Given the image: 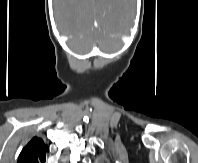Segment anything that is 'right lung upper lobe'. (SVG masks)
<instances>
[{
	"label": "right lung upper lobe",
	"instance_id": "obj_1",
	"mask_svg": "<svg viewBox=\"0 0 198 163\" xmlns=\"http://www.w3.org/2000/svg\"><path fill=\"white\" fill-rule=\"evenodd\" d=\"M48 146L40 137H33L22 149L17 163H45Z\"/></svg>",
	"mask_w": 198,
	"mask_h": 163
}]
</instances>
